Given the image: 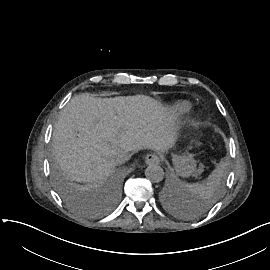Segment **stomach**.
<instances>
[{"label": "stomach", "instance_id": "stomach-1", "mask_svg": "<svg viewBox=\"0 0 270 270\" xmlns=\"http://www.w3.org/2000/svg\"><path fill=\"white\" fill-rule=\"evenodd\" d=\"M172 161L176 174L183 178H188L190 176L197 177L203 172L204 166L200 165L197 169V161L191 153L185 152L182 155L173 154Z\"/></svg>", "mask_w": 270, "mask_h": 270}]
</instances>
